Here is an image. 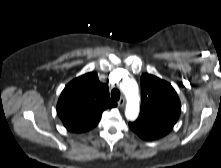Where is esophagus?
I'll list each match as a JSON object with an SVG mask.
<instances>
[{
    "label": "esophagus",
    "mask_w": 221,
    "mask_h": 168,
    "mask_svg": "<svg viewBox=\"0 0 221 168\" xmlns=\"http://www.w3.org/2000/svg\"><path fill=\"white\" fill-rule=\"evenodd\" d=\"M125 105V98L121 97L118 101V106L119 107H123Z\"/></svg>",
    "instance_id": "1"
}]
</instances>
